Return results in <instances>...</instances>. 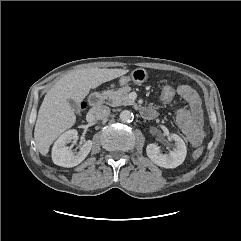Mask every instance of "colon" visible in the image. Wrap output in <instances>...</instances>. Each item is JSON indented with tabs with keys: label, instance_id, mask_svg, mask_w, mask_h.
<instances>
[{
	"label": "colon",
	"instance_id": "colon-1",
	"mask_svg": "<svg viewBox=\"0 0 241 241\" xmlns=\"http://www.w3.org/2000/svg\"><path fill=\"white\" fill-rule=\"evenodd\" d=\"M175 96V88L170 85L163 86L160 92V99L162 102L168 103L173 100ZM203 154V149L198 148L193 152V158L198 159Z\"/></svg>",
	"mask_w": 241,
	"mask_h": 241
}]
</instances>
